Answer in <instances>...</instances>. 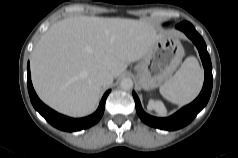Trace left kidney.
<instances>
[{"mask_svg": "<svg viewBox=\"0 0 238 158\" xmlns=\"http://www.w3.org/2000/svg\"><path fill=\"white\" fill-rule=\"evenodd\" d=\"M148 108L154 109L157 113L161 115H164L166 113L165 106L161 101L150 100L148 104Z\"/></svg>", "mask_w": 238, "mask_h": 158, "instance_id": "obj_1", "label": "left kidney"}]
</instances>
